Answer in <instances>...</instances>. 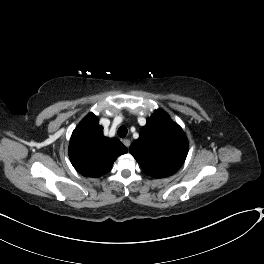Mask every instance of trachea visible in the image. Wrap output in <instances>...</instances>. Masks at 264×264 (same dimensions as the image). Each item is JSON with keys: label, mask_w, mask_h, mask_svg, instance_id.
<instances>
[{"label": "trachea", "mask_w": 264, "mask_h": 264, "mask_svg": "<svg viewBox=\"0 0 264 264\" xmlns=\"http://www.w3.org/2000/svg\"><path fill=\"white\" fill-rule=\"evenodd\" d=\"M127 132H128L127 128L124 127V126H121L118 129V132L117 133H118L119 137L124 138L127 135Z\"/></svg>", "instance_id": "1"}]
</instances>
